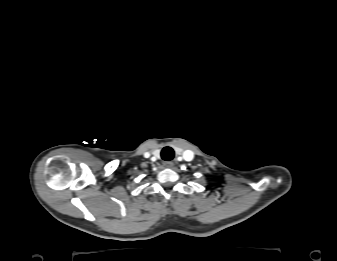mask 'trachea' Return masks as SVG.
<instances>
[{
	"label": "trachea",
	"instance_id": "obj_1",
	"mask_svg": "<svg viewBox=\"0 0 337 261\" xmlns=\"http://www.w3.org/2000/svg\"><path fill=\"white\" fill-rule=\"evenodd\" d=\"M161 158L170 161L174 158V150L171 147H164L161 151Z\"/></svg>",
	"mask_w": 337,
	"mask_h": 261
}]
</instances>
